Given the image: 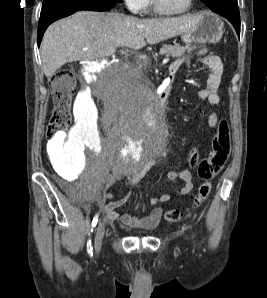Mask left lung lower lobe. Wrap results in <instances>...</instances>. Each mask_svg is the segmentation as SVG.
Listing matches in <instances>:
<instances>
[{
    "label": "left lung lower lobe",
    "mask_w": 267,
    "mask_h": 298,
    "mask_svg": "<svg viewBox=\"0 0 267 298\" xmlns=\"http://www.w3.org/2000/svg\"><path fill=\"white\" fill-rule=\"evenodd\" d=\"M218 14L227 18L233 24L237 34L240 35V14L238 7H233L226 12H218Z\"/></svg>",
    "instance_id": "0a47b994"
}]
</instances>
